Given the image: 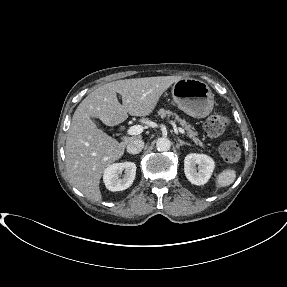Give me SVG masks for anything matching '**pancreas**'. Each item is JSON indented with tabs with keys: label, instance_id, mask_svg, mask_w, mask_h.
I'll return each mask as SVG.
<instances>
[{
	"label": "pancreas",
	"instance_id": "cf45deb5",
	"mask_svg": "<svg viewBox=\"0 0 287 287\" xmlns=\"http://www.w3.org/2000/svg\"><path fill=\"white\" fill-rule=\"evenodd\" d=\"M158 115L162 118L164 117H174L175 121L180 123L182 128L186 131L187 136H189L196 145L200 147H205L201 140L197 137V132L194 131V128L184 119H181L176 113L171 112L170 110L160 109Z\"/></svg>",
	"mask_w": 287,
	"mask_h": 287
}]
</instances>
